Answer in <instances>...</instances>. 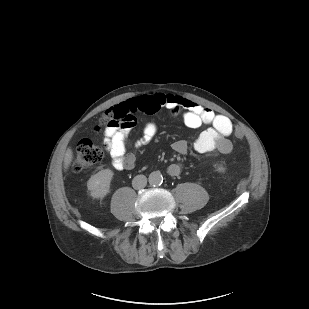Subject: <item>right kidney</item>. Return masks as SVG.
<instances>
[{
  "label": "right kidney",
  "instance_id": "obj_1",
  "mask_svg": "<svg viewBox=\"0 0 309 309\" xmlns=\"http://www.w3.org/2000/svg\"><path fill=\"white\" fill-rule=\"evenodd\" d=\"M113 172L110 169H103L91 176L87 182V188L94 198H103L110 192V183Z\"/></svg>",
  "mask_w": 309,
  "mask_h": 309
}]
</instances>
